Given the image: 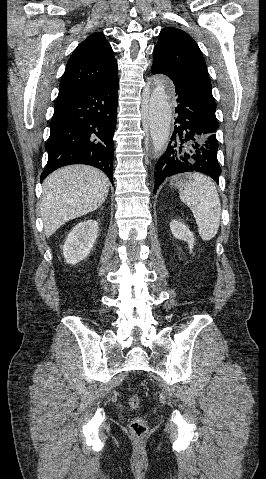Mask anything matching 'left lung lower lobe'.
<instances>
[{"label":"left lung lower lobe","mask_w":266,"mask_h":479,"mask_svg":"<svg viewBox=\"0 0 266 479\" xmlns=\"http://www.w3.org/2000/svg\"><path fill=\"white\" fill-rule=\"evenodd\" d=\"M152 73H158L152 68ZM177 98L174 132L166 152L159 158L155 171L156 193L164 180L183 172H200L217 183L221 168L217 160L219 127L216 107L185 87L174 84Z\"/></svg>","instance_id":"1"}]
</instances>
